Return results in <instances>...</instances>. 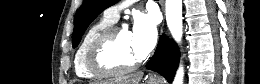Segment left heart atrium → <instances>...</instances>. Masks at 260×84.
<instances>
[{
  "instance_id": "left-heart-atrium-1",
  "label": "left heart atrium",
  "mask_w": 260,
  "mask_h": 84,
  "mask_svg": "<svg viewBox=\"0 0 260 84\" xmlns=\"http://www.w3.org/2000/svg\"><path fill=\"white\" fill-rule=\"evenodd\" d=\"M132 44L140 58H144L154 48L157 41V19L152 13H139L134 18Z\"/></svg>"
}]
</instances>
